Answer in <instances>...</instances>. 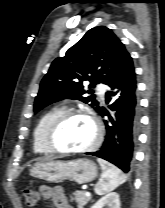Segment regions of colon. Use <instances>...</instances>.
Here are the masks:
<instances>
[{
  "mask_svg": "<svg viewBox=\"0 0 165 208\" xmlns=\"http://www.w3.org/2000/svg\"><path fill=\"white\" fill-rule=\"evenodd\" d=\"M24 197H25L27 205L29 206H34L38 201V194L33 189H25Z\"/></svg>",
  "mask_w": 165,
  "mask_h": 208,
  "instance_id": "1",
  "label": "colon"
}]
</instances>
